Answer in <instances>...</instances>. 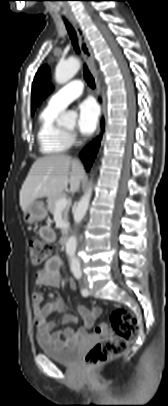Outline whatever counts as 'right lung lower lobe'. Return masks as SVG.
<instances>
[{
    "label": "right lung lower lobe",
    "mask_w": 168,
    "mask_h": 406,
    "mask_svg": "<svg viewBox=\"0 0 168 406\" xmlns=\"http://www.w3.org/2000/svg\"><path fill=\"white\" fill-rule=\"evenodd\" d=\"M104 122L102 120V128H103ZM100 139L101 135L95 139L89 147L85 148V150L82 151L81 153V158L86 166L87 169H90L92 162L95 158L96 152L98 150L99 144H100Z\"/></svg>",
    "instance_id": "obj_1"
}]
</instances>
